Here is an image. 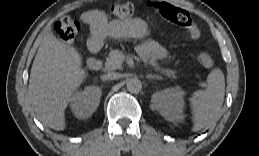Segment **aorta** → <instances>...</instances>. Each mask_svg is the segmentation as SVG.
Masks as SVG:
<instances>
[{"label":"aorta","instance_id":"obj_1","mask_svg":"<svg viewBox=\"0 0 259 156\" xmlns=\"http://www.w3.org/2000/svg\"><path fill=\"white\" fill-rule=\"evenodd\" d=\"M126 86H127V90L130 92V93H134V94H137L141 91L142 89V83L139 79L137 78H131L127 81L126 83Z\"/></svg>","mask_w":259,"mask_h":156}]
</instances>
